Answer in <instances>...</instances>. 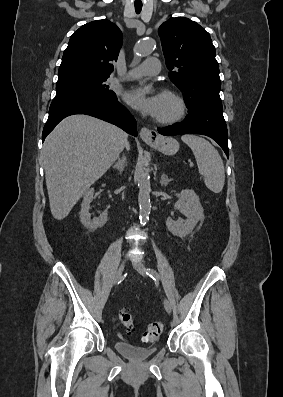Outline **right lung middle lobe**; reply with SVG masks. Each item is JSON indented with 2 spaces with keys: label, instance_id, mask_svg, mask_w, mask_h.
Masks as SVG:
<instances>
[{
  "label": "right lung middle lobe",
  "instance_id": "right-lung-middle-lobe-1",
  "mask_svg": "<svg viewBox=\"0 0 283 397\" xmlns=\"http://www.w3.org/2000/svg\"><path fill=\"white\" fill-rule=\"evenodd\" d=\"M109 76L70 75L59 78L56 83V96L84 93L109 100L117 99L116 94L105 84Z\"/></svg>",
  "mask_w": 283,
  "mask_h": 397
}]
</instances>
